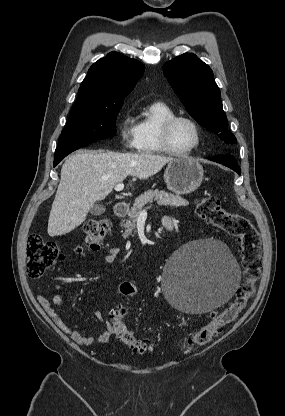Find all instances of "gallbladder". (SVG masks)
I'll return each instance as SVG.
<instances>
[{
	"label": "gallbladder",
	"mask_w": 285,
	"mask_h": 416,
	"mask_svg": "<svg viewBox=\"0 0 285 416\" xmlns=\"http://www.w3.org/2000/svg\"><path fill=\"white\" fill-rule=\"evenodd\" d=\"M89 212L92 216H101V214L106 212V208L105 206H102V204H94L93 208H90Z\"/></svg>",
	"instance_id": "bac80fb5"
}]
</instances>
